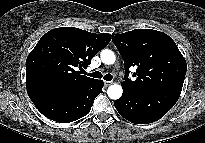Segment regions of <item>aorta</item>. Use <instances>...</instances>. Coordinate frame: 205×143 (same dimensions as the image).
I'll return each instance as SVG.
<instances>
[{"label": "aorta", "mask_w": 205, "mask_h": 143, "mask_svg": "<svg viewBox=\"0 0 205 143\" xmlns=\"http://www.w3.org/2000/svg\"><path fill=\"white\" fill-rule=\"evenodd\" d=\"M101 60L106 65L114 64L116 57L113 51L104 49L100 53ZM123 90L121 85L112 84L108 87L107 95L110 99L117 100L122 96Z\"/></svg>", "instance_id": "1"}]
</instances>
